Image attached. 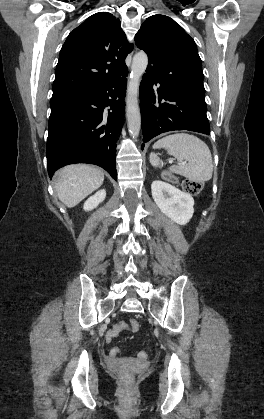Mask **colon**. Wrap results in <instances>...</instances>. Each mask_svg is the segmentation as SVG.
Returning a JSON list of instances; mask_svg holds the SVG:
<instances>
[{
	"instance_id": "obj_1",
	"label": "colon",
	"mask_w": 264,
	"mask_h": 419,
	"mask_svg": "<svg viewBox=\"0 0 264 419\" xmlns=\"http://www.w3.org/2000/svg\"><path fill=\"white\" fill-rule=\"evenodd\" d=\"M163 178L167 181H171V182H175L176 179L175 177L170 174L169 172H164L163 173ZM182 189L191 195H197L201 189H202V184L200 182L194 181V180H190V179H186L182 182ZM122 328L123 329H127L130 330L132 332H136L139 330V322L135 319H131L128 322L122 323ZM115 333V331L113 332V334ZM138 357L141 359H146L148 358V353L146 351H139L138 352ZM124 377L127 378L128 374L124 373Z\"/></svg>"
}]
</instances>
